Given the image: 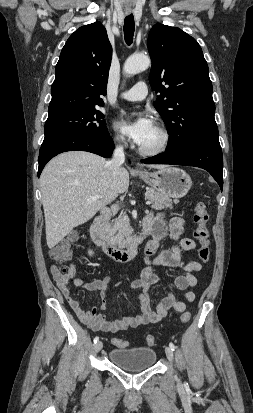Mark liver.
I'll return each instance as SVG.
<instances>
[{"instance_id": "6515ba94", "label": "liver", "mask_w": 253, "mask_h": 413, "mask_svg": "<svg viewBox=\"0 0 253 413\" xmlns=\"http://www.w3.org/2000/svg\"><path fill=\"white\" fill-rule=\"evenodd\" d=\"M166 166L148 165L154 169ZM128 187V171L120 167L112 173L108 161L96 154L69 151L50 160L40 176L47 246L53 248ZM96 195L101 198L88 202Z\"/></svg>"}]
</instances>
